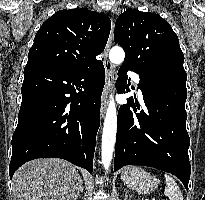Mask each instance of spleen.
Returning a JSON list of instances; mask_svg holds the SVG:
<instances>
[{"mask_svg": "<svg viewBox=\"0 0 205 200\" xmlns=\"http://www.w3.org/2000/svg\"><path fill=\"white\" fill-rule=\"evenodd\" d=\"M166 187L164 195H166L169 200H183L182 192L176 183V181L170 176L165 174Z\"/></svg>", "mask_w": 205, "mask_h": 200, "instance_id": "obj_1", "label": "spleen"}]
</instances>
